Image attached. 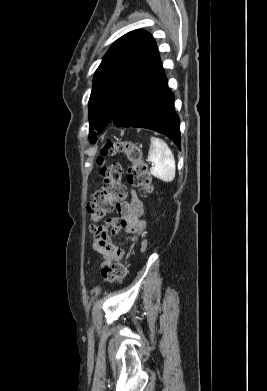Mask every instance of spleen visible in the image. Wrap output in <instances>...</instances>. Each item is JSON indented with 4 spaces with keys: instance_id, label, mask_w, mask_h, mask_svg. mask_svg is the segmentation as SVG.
I'll return each mask as SVG.
<instances>
[{
    "instance_id": "spleen-1",
    "label": "spleen",
    "mask_w": 267,
    "mask_h": 391,
    "mask_svg": "<svg viewBox=\"0 0 267 391\" xmlns=\"http://www.w3.org/2000/svg\"><path fill=\"white\" fill-rule=\"evenodd\" d=\"M148 159L152 162L151 174L164 182L175 178V159L172 151L162 139L151 137Z\"/></svg>"
}]
</instances>
